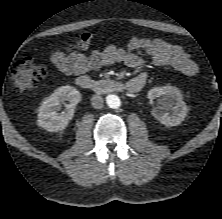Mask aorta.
I'll return each instance as SVG.
<instances>
[{
  "mask_svg": "<svg viewBox=\"0 0 222 219\" xmlns=\"http://www.w3.org/2000/svg\"><path fill=\"white\" fill-rule=\"evenodd\" d=\"M106 103L110 108H113V109H117L121 105L120 98L114 94H110L106 97Z\"/></svg>",
  "mask_w": 222,
  "mask_h": 219,
  "instance_id": "obj_1",
  "label": "aorta"
}]
</instances>
